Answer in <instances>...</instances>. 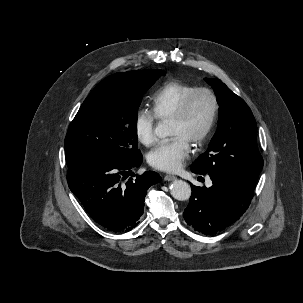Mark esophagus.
<instances>
[{
	"label": "esophagus",
	"instance_id": "obj_1",
	"mask_svg": "<svg viewBox=\"0 0 303 303\" xmlns=\"http://www.w3.org/2000/svg\"><path fill=\"white\" fill-rule=\"evenodd\" d=\"M175 179H176V177L174 175H165L164 176L165 181H173Z\"/></svg>",
	"mask_w": 303,
	"mask_h": 303
}]
</instances>
